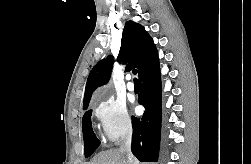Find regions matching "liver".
Segmentation results:
<instances>
[{"label": "liver", "mask_w": 251, "mask_h": 164, "mask_svg": "<svg viewBox=\"0 0 251 164\" xmlns=\"http://www.w3.org/2000/svg\"><path fill=\"white\" fill-rule=\"evenodd\" d=\"M136 164H139L135 160ZM87 164H129L125 151L120 149H110L97 154L91 162Z\"/></svg>", "instance_id": "liver-1"}]
</instances>
